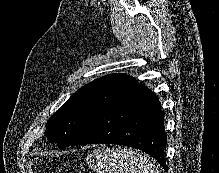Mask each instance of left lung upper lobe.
<instances>
[{
  "instance_id": "5c2ea615",
  "label": "left lung upper lobe",
  "mask_w": 219,
  "mask_h": 173,
  "mask_svg": "<svg viewBox=\"0 0 219 173\" xmlns=\"http://www.w3.org/2000/svg\"><path fill=\"white\" fill-rule=\"evenodd\" d=\"M132 82L134 79L126 74H111L80 88L48 120V139L56 141L59 149L71 145L101 108Z\"/></svg>"
}]
</instances>
